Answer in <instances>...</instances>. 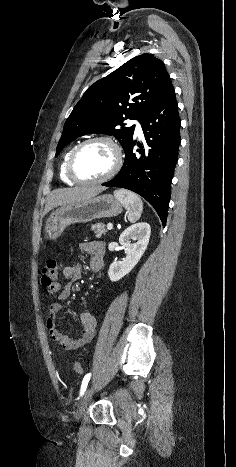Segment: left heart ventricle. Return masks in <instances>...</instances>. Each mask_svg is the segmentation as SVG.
<instances>
[{
    "label": "left heart ventricle",
    "mask_w": 236,
    "mask_h": 467,
    "mask_svg": "<svg viewBox=\"0 0 236 467\" xmlns=\"http://www.w3.org/2000/svg\"><path fill=\"white\" fill-rule=\"evenodd\" d=\"M114 152L104 142H96L84 147L75 160V171L83 180H95L103 177L112 168Z\"/></svg>",
    "instance_id": "left-heart-ventricle-1"
}]
</instances>
